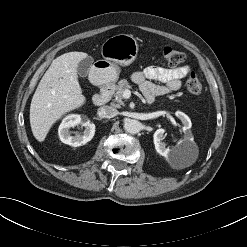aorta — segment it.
I'll return each mask as SVG.
<instances>
[{"mask_svg": "<svg viewBox=\"0 0 247 247\" xmlns=\"http://www.w3.org/2000/svg\"><path fill=\"white\" fill-rule=\"evenodd\" d=\"M142 129V124L135 119H128L124 122V130L130 134H137Z\"/></svg>", "mask_w": 247, "mask_h": 247, "instance_id": "762f6f07", "label": "aorta"}]
</instances>
